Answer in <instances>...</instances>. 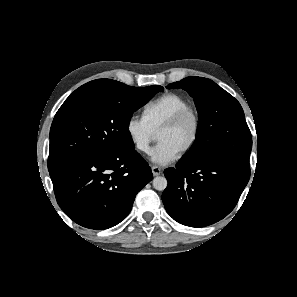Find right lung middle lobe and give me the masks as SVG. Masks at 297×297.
<instances>
[{
  "mask_svg": "<svg viewBox=\"0 0 297 297\" xmlns=\"http://www.w3.org/2000/svg\"><path fill=\"white\" fill-rule=\"evenodd\" d=\"M100 81L96 91L67 98L56 113L50 129L48 170L72 157L135 148L128 128L132 113L163 87Z\"/></svg>",
  "mask_w": 297,
  "mask_h": 297,
  "instance_id": "right-lung-middle-lobe-1",
  "label": "right lung middle lobe"
}]
</instances>
